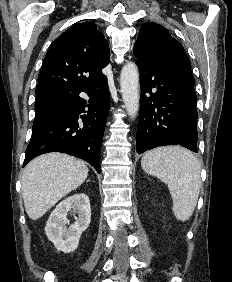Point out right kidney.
<instances>
[{"mask_svg": "<svg viewBox=\"0 0 232 282\" xmlns=\"http://www.w3.org/2000/svg\"><path fill=\"white\" fill-rule=\"evenodd\" d=\"M78 214L76 221L69 228L67 213ZM91 221L90 201L84 193L72 195L61 201L51 213L45 227L48 239L57 250L71 253L78 247L79 240Z\"/></svg>", "mask_w": 232, "mask_h": 282, "instance_id": "1", "label": "right kidney"}]
</instances>
